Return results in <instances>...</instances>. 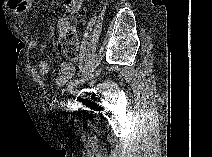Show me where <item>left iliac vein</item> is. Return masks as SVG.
<instances>
[{
  "label": "left iliac vein",
  "mask_w": 212,
  "mask_h": 157,
  "mask_svg": "<svg viewBox=\"0 0 212 157\" xmlns=\"http://www.w3.org/2000/svg\"><path fill=\"white\" fill-rule=\"evenodd\" d=\"M72 95H75L78 92V87L73 88L71 91H69Z\"/></svg>",
  "instance_id": "obj_1"
}]
</instances>
